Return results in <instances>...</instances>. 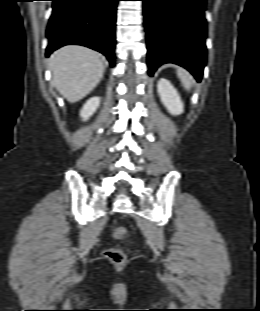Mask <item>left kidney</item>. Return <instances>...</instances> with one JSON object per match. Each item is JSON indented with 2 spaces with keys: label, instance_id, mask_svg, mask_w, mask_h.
I'll return each mask as SVG.
<instances>
[{
  "label": "left kidney",
  "instance_id": "5707ae66",
  "mask_svg": "<svg viewBox=\"0 0 260 311\" xmlns=\"http://www.w3.org/2000/svg\"><path fill=\"white\" fill-rule=\"evenodd\" d=\"M158 93L163 105L172 115H180L184 111V104L177 90L171 85L170 81L161 78L158 81Z\"/></svg>",
  "mask_w": 260,
  "mask_h": 311
}]
</instances>
